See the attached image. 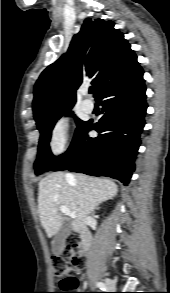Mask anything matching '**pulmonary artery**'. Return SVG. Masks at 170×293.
<instances>
[{
  "label": "pulmonary artery",
  "mask_w": 170,
  "mask_h": 293,
  "mask_svg": "<svg viewBox=\"0 0 170 293\" xmlns=\"http://www.w3.org/2000/svg\"><path fill=\"white\" fill-rule=\"evenodd\" d=\"M87 92H84V95H86ZM82 109L89 113L91 112L93 109H94V104L92 101L90 100H85L83 103H82Z\"/></svg>",
  "instance_id": "obj_1"
}]
</instances>
